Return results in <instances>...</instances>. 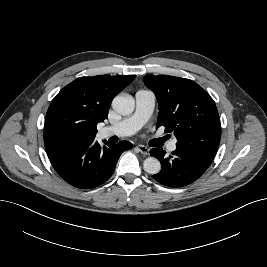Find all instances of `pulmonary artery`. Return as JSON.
<instances>
[{
  "instance_id": "obj_1",
  "label": "pulmonary artery",
  "mask_w": 267,
  "mask_h": 267,
  "mask_svg": "<svg viewBox=\"0 0 267 267\" xmlns=\"http://www.w3.org/2000/svg\"><path fill=\"white\" fill-rule=\"evenodd\" d=\"M135 112L113 126L104 127L100 131L101 137L129 136L137 132L149 119L155 105V95L151 91L141 90L135 94ZM177 139L168 144V150H176Z\"/></svg>"
}]
</instances>
